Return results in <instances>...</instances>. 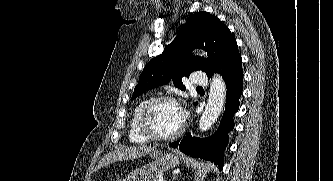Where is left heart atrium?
Wrapping results in <instances>:
<instances>
[{
	"label": "left heart atrium",
	"instance_id": "39dd6f15",
	"mask_svg": "<svg viewBox=\"0 0 333 181\" xmlns=\"http://www.w3.org/2000/svg\"><path fill=\"white\" fill-rule=\"evenodd\" d=\"M185 116V110L181 106H179V117L181 124L185 121Z\"/></svg>",
	"mask_w": 333,
	"mask_h": 181
}]
</instances>
